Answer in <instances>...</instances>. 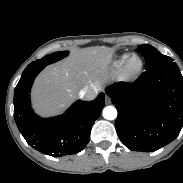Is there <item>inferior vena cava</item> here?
I'll return each instance as SVG.
<instances>
[{"instance_id": "inferior-vena-cava-1", "label": "inferior vena cava", "mask_w": 183, "mask_h": 183, "mask_svg": "<svg viewBox=\"0 0 183 183\" xmlns=\"http://www.w3.org/2000/svg\"><path fill=\"white\" fill-rule=\"evenodd\" d=\"M97 94L98 89L96 87H87L79 91V96L88 101L93 100Z\"/></svg>"}]
</instances>
